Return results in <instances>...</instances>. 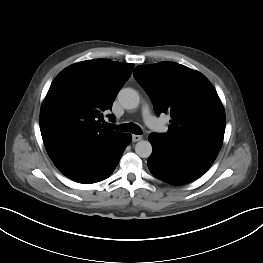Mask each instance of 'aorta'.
I'll use <instances>...</instances> for the list:
<instances>
[{"label":"aorta","instance_id":"obj_1","mask_svg":"<svg viewBox=\"0 0 263 263\" xmlns=\"http://www.w3.org/2000/svg\"><path fill=\"white\" fill-rule=\"evenodd\" d=\"M118 101L125 109L138 107L140 99L138 93L132 88H123L118 93ZM152 145L149 141H139L135 146L136 154L141 158H148L152 154Z\"/></svg>","mask_w":263,"mask_h":263}]
</instances>
